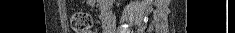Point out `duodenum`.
<instances>
[{
	"label": "duodenum",
	"instance_id": "obj_1",
	"mask_svg": "<svg viewBox=\"0 0 235 33\" xmlns=\"http://www.w3.org/2000/svg\"><path fill=\"white\" fill-rule=\"evenodd\" d=\"M103 27H104L105 32L107 33V30H108V28H109V24H108V23H105V24L103 25Z\"/></svg>",
	"mask_w": 235,
	"mask_h": 33
}]
</instances>
